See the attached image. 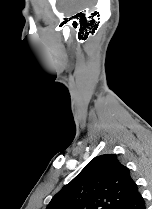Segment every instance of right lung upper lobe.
<instances>
[{
  "instance_id": "1",
  "label": "right lung upper lobe",
  "mask_w": 152,
  "mask_h": 209,
  "mask_svg": "<svg viewBox=\"0 0 152 209\" xmlns=\"http://www.w3.org/2000/svg\"><path fill=\"white\" fill-rule=\"evenodd\" d=\"M138 190L115 154L93 158L46 209H119Z\"/></svg>"
}]
</instances>
